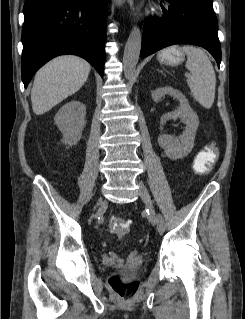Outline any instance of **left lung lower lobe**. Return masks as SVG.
Masks as SVG:
<instances>
[{"mask_svg":"<svg viewBox=\"0 0 245 319\" xmlns=\"http://www.w3.org/2000/svg\"><path fill=\"white\" fill-rule=\"evenodd\" d=\"M161 6L163 16L150 17L144 23L140 57L169 45L186 43L207 49L220 66L218 22L213 9L194 0H165Z\"/></svg>","mask_w":245,"mask_h":319,"instance_id":"1","label":"left lung lower lobe"}]
</instances>
